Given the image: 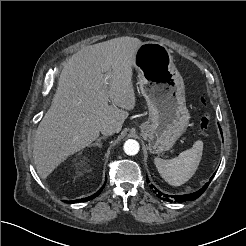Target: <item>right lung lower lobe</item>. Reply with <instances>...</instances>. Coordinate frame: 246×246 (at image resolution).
Returning a JSON list of instances; mask_svg holds the SVG:
<instances>
[{"label": "right lung lower lobe", "instance_id": "1", "mask_svg": "<svg viewBox=\"0 0 246 246\" xmlns=\"http://www.w3.org/2000/svg\"><path fill=\"white\" fill-rule=\"evenodd\" d=\"M104 186H105V184L103 185V187L99 191H97L95 194H93L90 197H87V198H84V199H79V200H73V201H65V202L66 203H77V202H83V201L91 200V199L97 197L101 193V191L103 190Z\"/></svg>", "mask_w": 246, "mask_h": 246}]
</instances>
